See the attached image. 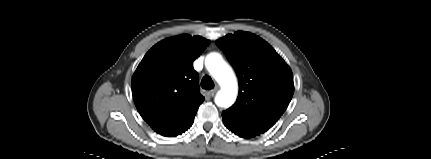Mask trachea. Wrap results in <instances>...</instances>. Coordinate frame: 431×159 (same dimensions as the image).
I'll return each mask as SVG.
<instances>
[{"label": "trachea", "instance_id": "1", "mask_svg": "<svg viewBox=\"0 0 431 159\" xmlns=\"http://www.w3.org/2000/svg\"><path fill=\"white\" fill-rule=\"evenodd\" d=\"M201 87L206 90H210L214 88V82L210 76H204L201 80Z\"/></svg>", "mask_w": 431, "mask_h": 159}]
</instances>
